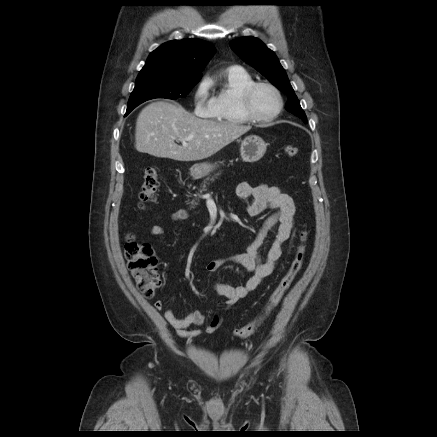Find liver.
<instances>
[{
  "instance_id": "1",
  "label": "liver",
  "mask_w": 437,
  "mask_h": 437,
  "mask_svg": "<svg viewBox=\"0 0 437 437\" xmlns=\"http://www.w3.org/2000/svg\"><path fill=\"white\" fill-rule=\"evenodd\" d=\"M250 129L251 126L201 119L178 104L156 101L138 115L135 147L156 157L198 161L211 157ZM177 138L185 139L187 145H177Z\"/></svg>"
}]
</instances>
